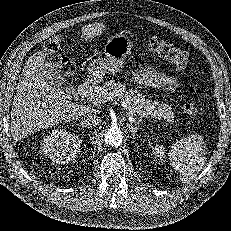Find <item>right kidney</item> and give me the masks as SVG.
Wrapping results in <instances>:
<instances>
[{
    "instance_id": "right-kidney-1",
    "label": "right kidney",
    "mask_w": 231,
    "mask_h": 231,
    "mask_svg": "<svg viewBox=\"0 0 231 231\" xmlns=\"http://www.w3.org/2000/svg\"><path fill=\"white\" fill-rule=\"evenodd\" d=\"M82 140L78 135L63 129H54L43 138L41 152L56 164H66L74 160L80 152Z\"/></svg>"
}]
</instances>
